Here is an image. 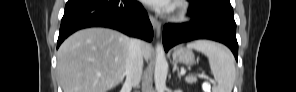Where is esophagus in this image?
Masks as SVG:
<instances>
[{"label": "esophagus", "mask_w": 296, "mask_h": 92, "mask_svg": "<svg viewBox=\"0 0 296 92\" xmlns=\"http://www.w3.org/2000/svg\"><path fill=\"white\" fill-rule=\"evenodd\" d=\"M150 22L156 32V35L159 36L161 31V22L152 15H150Z\"/></svg>", "instance_id": "34e87169"}]
</instances>
